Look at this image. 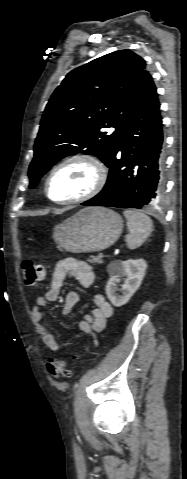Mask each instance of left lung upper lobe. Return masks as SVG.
<instances>
[{"instance_id":"1","label":"left lung upper lobe","mask_w":187,"mask_h":479,"mask_svg":"<svg viewBox=\"0 0 187 479\" xmlns=\"http://www.w3.org/2000/svg\"><path fill=\"white\" fill-rule=\"evenodd\" d=\"M147 75L144 59L130 50L109 53L68 73L44 111L29 187L68 155H95L108 166ZM111 127L113 133L107 130Z\"/></svg>"}]
</instances>
